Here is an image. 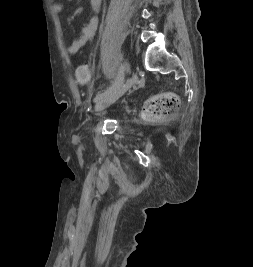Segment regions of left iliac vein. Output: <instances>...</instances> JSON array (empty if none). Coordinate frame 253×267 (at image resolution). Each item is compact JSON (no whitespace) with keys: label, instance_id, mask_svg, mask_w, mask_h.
<instances>
[{"label":"left iliac vein","instance_id":"1","mask_svg":"<svg viewBox=\"0 0 253 267\" xmlns=\"http://www.w3.org/2000/svg\"><path fill=\"white\" fill-rule=\"evenodd\" d=\"M135 83L136 79L134 77L128 78L124 85L117 89H114L110 94H108L100 102H98L95 107V110L101 111L113 104L119 97L125 94Z\"/></svg>","mask_w":253,"mask_h":267}]
</instances>
